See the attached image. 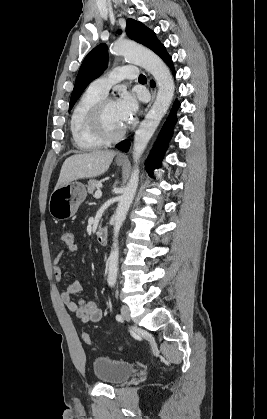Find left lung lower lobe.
<instances>
[{
    "instance_id": "0a47b994",
    "label": "left lung lower lobe",
    "mask_w": 267,
    "mask_h": 419,
    "mask_svg": "<svg viewBox=\"0 0 267 419\" xmlns=\"http://www.w3.org/2000/svg\"><path fill=\"white\" fill-rule=\"evenodd\" d=\"M157 55L160 56L163 59V61L165 63H167V65L172 70H174L172 58L166 52V49H165L164 46L162 47V49L160 50V52ZM154 86H155V84L152 81L151 82V87H154ZM179 107H180V103L176 100L173 107H172L171 113H170L167 121L165 122L160 134H159V137H158V140L155 143L154 149H153L152 153L150 154L149 158L147 159L145 168L149 172L150 175H152L153 169L159 168L161 166L160 161H161V158H162L164 152L167 149L168 142L172 137L173 127H174V125L177 121L176 111ZM129 145H130L129 140H124V141L120 142L119 144H117L116 148L122 150L123 152H127L128 149H129Z\"/></svg>"
}]
</instances>
